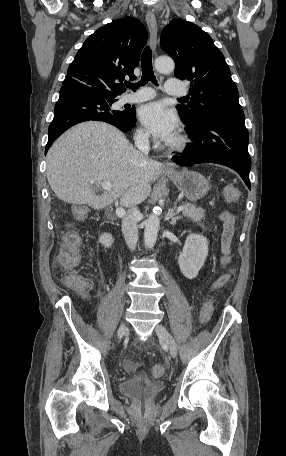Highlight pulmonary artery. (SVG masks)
Segmentation results:
<instances>
[{"label":"pulmonary artery","instance_id":"pulmonary-artery-1","mask_svg":"<svg viewBox=\"0 0 286 456\" xmlns=\"http://www.w3.org/2000/svg\"><path fill=\"white\" fill-rule=\"evenodd\" d=\"M165 91L172 96H185L187 91L180 85L178 78H169L166 82ZM155 97V92L151 88H142L134 94L125 97L127 103H137L147 101Z\"/></svg>","mask_w":286,"mask_h":456}]
</instances>
